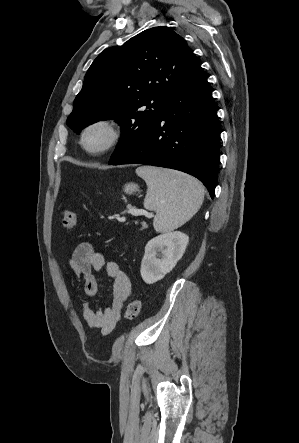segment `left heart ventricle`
<instances>
[{
    "label": "left heart ventricle",
    "mask_w": 299,
    "mask_h": 443,
    "mask_svg": "<svg viewBox=\"0 0 299 443\" xmlns=\"http://www.w3.org/2000/svg\"><path fill=\"white\" fill-rule=\"evenodd\" d=\"M108 138V131L103 127H98L88 133L86 144L92 149H97L102 147L107 142Z\"/></svg>",
    "instance_id": "left-heart-ventricle-1"
}]
</instances>
